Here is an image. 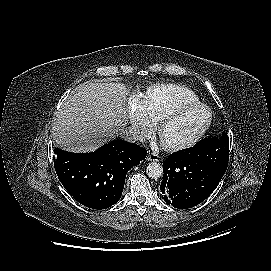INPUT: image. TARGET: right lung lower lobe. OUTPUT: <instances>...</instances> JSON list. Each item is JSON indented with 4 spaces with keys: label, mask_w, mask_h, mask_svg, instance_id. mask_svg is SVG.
<instances>
[{
    "label": "right lung lower lobe",
    "mask_w": 271,
    "mask_h": 271,
    "mask_svg": "<svg viewBox=\"0 0 271 271\" xmlns=\"http://www.w3.org/2000/svg\"><path fill=\"white\" fill-rule=\"evenodd\" d=\"M56 174L80 204L105 209L121 197L127 172L146 157L142 147L122 140L103 145L91 153L54 150Z\"/></svg>",
    "instance_id": "obj_1"
}]
</instances>
